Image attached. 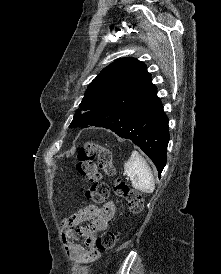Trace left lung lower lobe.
Masks as SVG:
<instances>
[{"label":"left lung lower lobe","mask_w":221,"mask_h":274,"mask_svg":"<svg viewBox=\"0 0 221 274\" xmlns=\"http://www.w3.org/2000/svg\"><path fill=\"white\" fill-rule=\"evenodd\" d=\"M93 117L96 123L90 126L104 127L132 140L154 162L160 176L170 136L168 118L151 81L138 97L96 109Z\"/></svg>","instance_id":"left-lung-lower-lobe-1"}]
</instances>
